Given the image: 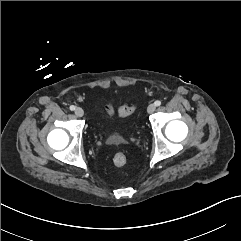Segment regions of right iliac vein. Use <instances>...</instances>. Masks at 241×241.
Wrapping results in <instances>:
<instances>
[{
	"instance_id": "obj_1",
	"label": "right iliac vein",
	"mask_w": 241,
	"mask_h": 241,
	"mask_svg": "<svg viewBox=\"0 0 241 241\" xmlns=\"http://www.w3.org/2000/svg\"><path fill=\"white\" fill-rule=\"evenodd\" d=\"M75 114H76L77 117H82L84 115V111L81 107H77L75 109Z\"/></svg>"
}]
</instances>
